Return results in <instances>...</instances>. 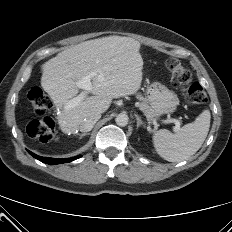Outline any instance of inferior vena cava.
Returning <instances> with one entry per match:
<instances>
[{
    "label": "inferior vena cava",
    "mask_w": 232,
    "mask_h": 232,
    "mask_svg": "<svg viewBox=\"0 0 232 232\" xmlns=\"http://www.w3.org/2000/svg\"><path fill=\"white\" fill-rule=\"evenodd\" d=\"M101 118V114L100 113H95V114H91L89 117L85 118V120L83 121V123L80 126V131L81 132H88L90 131L94 124Z\"/></svg>",
    "instance_id": "602c4592"
}]
</instances>
